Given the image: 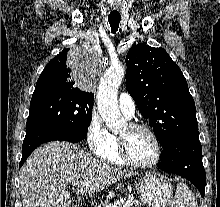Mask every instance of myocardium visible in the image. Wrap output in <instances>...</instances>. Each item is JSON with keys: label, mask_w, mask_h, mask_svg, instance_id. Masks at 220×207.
<instances>
[{"label": "myocardium", "mask_w": 220, "mask_h": 207, "mask_svg": "<svg viewBox=\"0 0 220 207\" xmlns=\"http://www.w3.org/2000/svg\"><path fill=\"white\" fill-rule=\"evenodd\" d=\"M128 127L131 130H144L146 131L152 138L154 144H155V148H156V155L155 158L148 163H138L136 161H134L128 152V148H127V144H126V140L122 137V136H117V148H118V153L121 157V159L128 165L135 167V168H140V169H147V168H151L153 166H155L161 158L162 155V147H161V143L160 140L157 136V134L154 132V130L149 127L146 124L143 123H136V122H131L128 124Z\"/></svg>", "instance_id": "obj_1"}]
</instances>
